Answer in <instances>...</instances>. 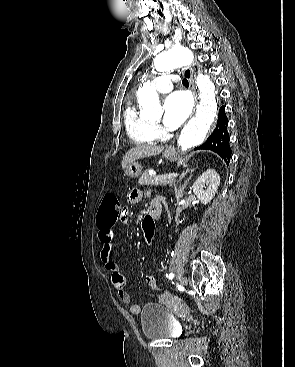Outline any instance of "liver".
I'll list each match as a JSON object with an SVG mask.
<instances>
[{
	"mask_svg": "<svg viewBox=\"0 0 295 367\" xmlns=\"http://www.w3.org/2000/svg\"><path fill=\"white\" fill-rule=\"evenodd\" d=\"M163 149H164L163 146H155V145H139L134 148H131L123 156L122 168L125 169L128 164L135 162V160L137 159L157 156L163 151Z\"/></svg>",
	"mask_w": 295,
	"mask_h": 367,
	"instance_id": "obj_1",
	"label": "liver"
}]
</instances>
